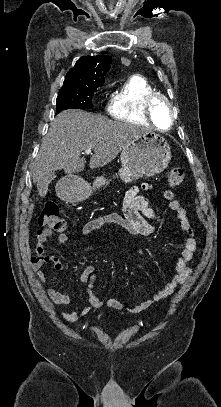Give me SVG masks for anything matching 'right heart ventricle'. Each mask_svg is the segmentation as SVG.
<instances>
[{
    "label": "right heart ventricle",
    "instance_id": "right-heart-ventricle-1",
    "mask_svg": "<svg viewBox=\"0 0 221 407\" xmlns=\"http://www.w3.org/2000/svg\"><path fill=\"white\" fill-rule=\"evenodd\" d=\"M156 92L145 77L133 76L126 80L112 95L106 111L117 120L149 125V120L144 111V103L147 97Z\"/></svg>",
    "mask_w": 221,
    "mask_h": 407
}]
</instances>
